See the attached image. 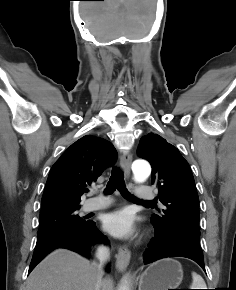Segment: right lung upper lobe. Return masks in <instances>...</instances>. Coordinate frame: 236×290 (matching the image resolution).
<instances>
[{
  "instance_id": "1",
  "label": "right lung upper lobe",
  "mask_w": 236,
  "mask_h": 290,
  "mask_svg": "<svg viewBox=\"0 0 236 290\" xmlns=\"http://www.w3.org/2000/svg\"><path fill=\"white\" fill-rule=\"evenodd\" d=\"M116 158L114 146L103 138L86 135L77 140L52 166L41 211L79 206L85 187L95 182Z\"/></svg>"
}]
</instances>
